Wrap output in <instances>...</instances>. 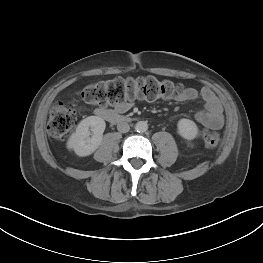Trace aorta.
Masks as SVG:
<instances>
[{"label":"aorta","mask_w":263,"mask_h":263,"mask_svg":"<svg viewBox=\"0 0 263 263\" xmlns=\"http://www.w3.org/2000/svg\"><path fill=\"white\" fill-rule=\"evenodd\" d=\"M135 129L137 130V132H146L148 129V124L145 121H139L136 123Z\"/></svg>","instance_id":"obj_1"}]
</instances>
